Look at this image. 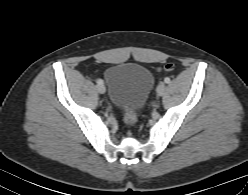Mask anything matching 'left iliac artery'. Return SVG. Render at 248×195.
<instances>
[{
  "label": "left iliac artery",
  "instance_id": "44dca946",
  "mask_svg": "<svg viewBox=\"0 0 248 195\" xmlns=\"http://www.w3.org/2000/svg\"><path fill=\"white\" fill-rule=\"evenodd\" d=\"M164 81H165V83H170V78L166 77V78L164 79Z\"/></svg>",
  "mask_w": 248,
  "mask_h": 195
}]
</instances>
